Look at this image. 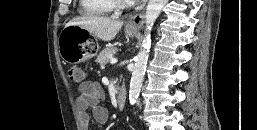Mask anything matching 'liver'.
<instances>
[{
    "instance_id": "obj_1",
    "label": "liver",
    "mask_w": 257,
    "mask_h": 130,
    "mask_svg": "<svg viewBox=\"0 0 257 130\" xmlns=\"http://www.w3.org/2000/svg\"><path fill=\"white\" fill-rule=\"evenodd\" d=\"M70 25L81 26L99 39L111 41L121 29L123 21L98 16H82L72 19L66 26Z\"/></svg>"
}]
</instances>
